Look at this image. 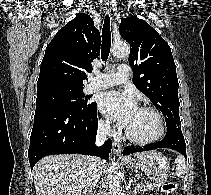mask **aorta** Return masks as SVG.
<instances>
[{"label": "aorta", "instance_id": "obj_1", "mask_svg": "<svg viewBox=\"0 0 211 195\" xmlns=\"http://www.w3.org/2000/svg\"><path fill=\"white\" fill-rule=\"evenodd\" d=\"M130 53V46L125 42L114 43L112 54L117 58H123ZM108 191L110 195H117L119 192L120 166L117 161L112 160L108 167Z\"/></svg>", "mask_w": 211, "mask_h": 195}]
</instances>
